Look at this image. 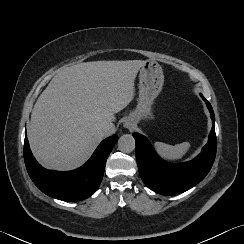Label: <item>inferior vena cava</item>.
I'll return each mask as SVG.
<instances>
[{"label": "inferior vena cava", "instance_id": "inferior-vena-cava-1", "mask_svg": "<svg viewBox=\"0 0 244 244\" xmlns=\"http://www.w3.org/2000/svg\"><path fill=\"white\" fill-rule=\"evenodd\" d=\"M101 134L106 137L115 133V126L112 122H105L100 128Z\"/></svg>", "mask_w": 244, "mask_h": 244}]
</instances>
